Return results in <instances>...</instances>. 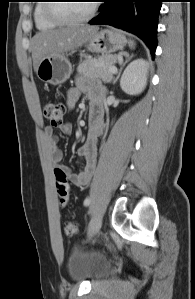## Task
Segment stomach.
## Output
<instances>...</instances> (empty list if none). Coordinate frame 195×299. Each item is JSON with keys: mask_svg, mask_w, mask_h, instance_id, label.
<instances>
[{"mask_svg": "<svg viewBox=\"0 0 195 299\" xmlns=\"http://www.w3.org/2000/svg\"><path fill=\"white\" fill-rule=\"evenodd\" d=\"M125 36L113 29L97 31L87 42L86 48L95 53L110 55L126 45ZM72 73V65L64 55L45 57L37 69L38 78L51 85H59L67 81Z\"/></svg>", "mask_w": 195, "mask_h": 299, "instance_id": "stomach-1", "label": "stomach"}]
</instances>
